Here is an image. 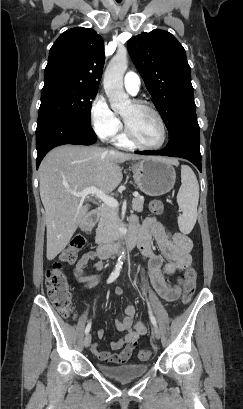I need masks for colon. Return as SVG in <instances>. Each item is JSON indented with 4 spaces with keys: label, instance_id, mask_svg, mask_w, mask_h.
Returning a JSON list of instances; mask_svg holds the SVG:
<instances>
[{
    "label": "colon",
    "instance_id": "1",
    "mask_svg": "<svg viewBox=\"0 0 243 409\" xmlns=\"http://www.w3.org/2000/svg\"><path fill=\"white\" fill-rule=\"evenodd\" d=\"M149 209L154 214H161L164 209L163 202L161 200H152L149 204ZM85 243V237L81 235L75 236L62 252L61 259L69 264H73L76 261L78 252L83 249ZM196 279V269L192 266L187 267L184 272V289L182 294L183 304L190 303L196 288ZM45 284L47 294L52 304L60 312V314L64 317L72 315L73 298L69 290L66 275L63 272L59 262H54L46 269ZM137 356L139 360L146 361L151 357V352L149 350L142 349L138 352Z\"/></svg>",
    "mask_w": 243,
    "mask_h": 409
}]
</instances>
